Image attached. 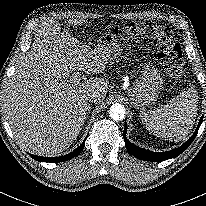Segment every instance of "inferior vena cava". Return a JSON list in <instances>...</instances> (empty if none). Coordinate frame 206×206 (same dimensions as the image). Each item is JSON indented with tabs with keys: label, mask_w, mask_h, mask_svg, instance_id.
I'll use <instances>...</instances> for the list:
<instances>
[{
	"label": "inferior vena cava",
	"mask_w": 206,
	"mask_h": 206,
	"mask_svg": "<svg viewBox=\"0 0 206 206\" xmlns=\"http://www.w3.org/2000/svg\"><path fill=\"white\" fill-rule=\"evenodd\" d=\"M87 100L89 101V102H99L100 101V98L96 95V94H89L88 96H87Z\"/></svg>",
	"instance_id": "inferior-vena-cava-1"
}]
</instances>
